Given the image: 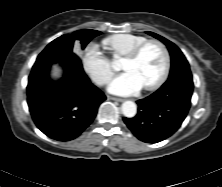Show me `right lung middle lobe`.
<instances>
[{
    "label": "right lung middle lobe",
    "instance_id": "right-lung-middle-lobe-1",
    "mask_svg": "<svg viewBox=\"0 0 222 187\" xmlns=\"http://www.w3.org/2000/svg\"><path fill=\"white\" fill-rule=\"evenodd\" d=\"M101 34V32L91 29H84L76 31L72 34H66L58 37L52 41L46 49L48 50H61L67 53H73V46L76 40H79L84 48L89 41Z\"/></svg>",
    "mask_w": 222,
    "mask_h": 187
}]
</instances>
